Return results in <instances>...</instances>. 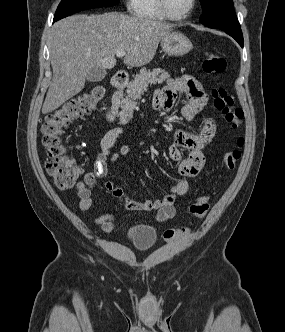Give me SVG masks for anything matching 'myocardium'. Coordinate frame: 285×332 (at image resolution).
I'll return each instance as SVG.
<instances>
[{
	"label": "myocardium",
	"mask_w": 285,
	"mask_h": 332,
	"mask_svg": "<svg viewBox=\"0 0 285 332\" xmlns=\"http://www.w3.org/2000/svg\"><path fill=\"white\" fill-rule=\"evenodd\" d=\"M157 5H158V8H159L161 14L166 19H169L172 21H182V20L187 19L193 13V11L197 5V0H191V5H190L189 9L182 15L172 14L171 11L169 10L167 0H157Z\"/></svg>",
	"instance_id": "myocardium-1"
}]
</instances>
